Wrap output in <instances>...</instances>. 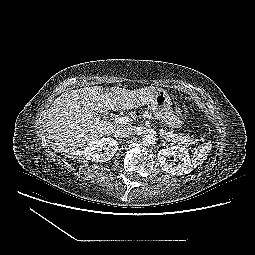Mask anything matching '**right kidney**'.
I'll list each match as a JSON object with an SVG mask.
<instances>
[{"mask_svg":"<svg viewBox=\"0 0 255 255\" xmlns=\"http://www.w3.org/2000/svg\"><path fill=\"white\" fill-rule=\"evenodd\" d=\"M117 149L118 142L116 140L110 137H104L89 142L82 151V156L86 160L101 163L110 160L115 155ZM102 151H104V153Z\"/></svg>","mask_w":255,"mask_h":255,"instance_id":"1","label":"right kidney"}]
</instances>
